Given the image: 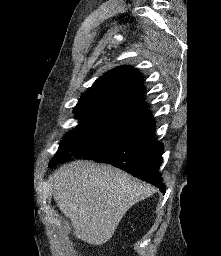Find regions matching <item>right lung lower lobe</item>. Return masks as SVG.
Returning a JSON list of instances; mask_svg holds the SVG:
<instances>
[{
  "label": "right lung lower lobe",
  "instance_id": "1",
  "mask_svg": "<svg viewBox=\"0 0 221 256\" xmlns=\"http://www.w3.org/2000/svg\"><path fill=\"white\" fill-rule=\"evenodd\" d=\"M154 131L155 122L149 120L108 140L82 157L121 168L165 192L166 187L159 172L163 145L155 140Z\"/></svg>",
  "mask_w": 221,
  "mask_h": 256
}]
</instances>
